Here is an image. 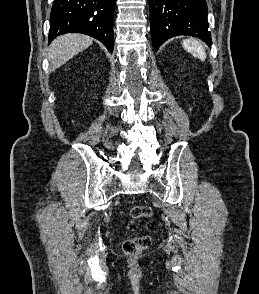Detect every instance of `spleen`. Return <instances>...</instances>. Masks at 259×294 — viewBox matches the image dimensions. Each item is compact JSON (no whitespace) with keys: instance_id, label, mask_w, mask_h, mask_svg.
<instances>
[{"instance_id":"spleen-1","label":"spleen","mask_w":259,"mask_h":294,"mask_svg":"<svg viewBox=\"0 0 259 294\" xmlns=\"http://www.w3.org/2000/svg\"><path fill=\"white\" fill-rule=\"evenodd\" d=\"M184 49L191 53L194 57L204 61L206 59V52L201 45V43L197 40L186 39L182 43Z\"/></svg>"}]
</instances>
